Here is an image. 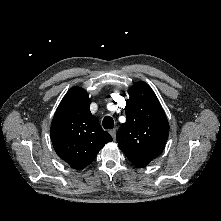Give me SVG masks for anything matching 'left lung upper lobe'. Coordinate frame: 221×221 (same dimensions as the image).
<instances>
[{"instance_id": "left-lung-upper-lobe-1", "label": "left lung upper lobe", "mask_w": 221, "mask_h": 221, "mask_svg": "<svg viewBox=\"0 0 221 221\" xmlns=\"http://www.w3.org/2000/svg\"><path fill=\"white\" fill-rule=\"evenodd\" d=\"M129 96L126 122L118 129L117 142L131 163L144 167L164 149L169 125L158 98L147 83L134 84Z\"/></svg>"}]
</instances>
